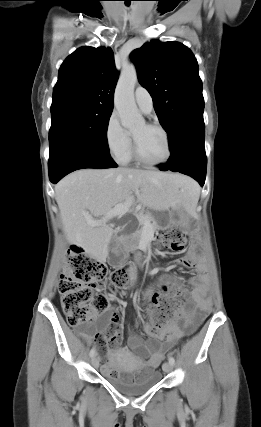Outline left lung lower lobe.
<instances>
[{"label":"left lung lower lobe","mask_w":261,"mask_h":427,"mask_svg":"<svg viewBox=\"0 0 261 427\" xmlns=\"http://www.w3.org/2000/svg\"><path fill=\"white\" fill-rule=\"evenodd\" d=\"M205 125L201 118L188 119L169 136L171 156L160 170L180 172L205 183L207 159L204 148Z\"/></svg>","instance_id":"1"}]
</instances>
